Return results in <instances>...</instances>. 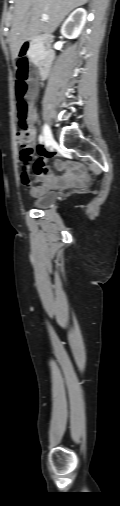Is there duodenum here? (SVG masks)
Here are the masks:
<instances>
[{
  "instance_id": "410a0bca",
  "label": "duodenum",
  "mask_w": 120,
  "mask_h": 506,
  "mask_svg": "<svg viewBox=\"0 0 120 506\" xmlns=\"http://www.w3.org/2000/svg\"><path fill=\"white\" fill-rule=\"evenodd\" d=\"M50 41V38L48 36H44L41 34H37L29 38L24 42L23 45L19 47V57L20 58H27L28 57V49L33 45H48ZM54 58V54L51 48L47 47L45 49L44 55L42 59L38 63V67L40 70L41 75H46L49 72V69L51 67L52 61Z\"/></svg>"
}]
</instances>
